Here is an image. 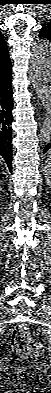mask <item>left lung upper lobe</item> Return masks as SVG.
Wrapping results in <instances>:
<instances>
[{
    "mask_svg": "<svg viewBox=\"0 0 51 393\" xmlns=\"http://www.w3.org/2000/svg\"><path fill=\"white\" fill-rule=\"evenodd\" d=\"M39 37L47 39L51 42V22L43 25V27L40 29Z\"/></svg>",
    "mask_w": 51,
    "mask_h": 393,
    "instance_id": "5c2ea615",
    "label": "left lung upper lobe"
}]
</instances>
